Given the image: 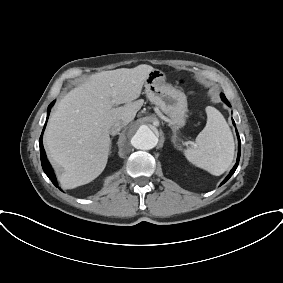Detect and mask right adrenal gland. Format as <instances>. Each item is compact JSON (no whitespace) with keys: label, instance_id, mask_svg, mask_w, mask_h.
<instances>
[{"label":"right adrenal gland","instance_id":"right-adrenal-gland-1","mask_svg":"<svg viewBox=\"0 0 283 283\" xmlns=\"http://www.w3.org/2000/svg\"><path fill=\"white\" fill-rule=\"evenodd\" d=\"M110 150H111V144H110ZM109 154H111V151L109 152Z\"/></svg>","mask_w":283,"mask_h":283}]
</instances>
